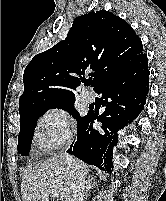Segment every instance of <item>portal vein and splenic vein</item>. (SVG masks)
Returning a JSON list of instances; mask_svg holds the SVG:
<instances>
[{"mask_svg":"<svg viewBox=\"0 0 166 201\" xmlns=\"http://www.w3.org/2000/svg\"><path fill=\"white\" fill-rule=\"evenodd\" d=\"M52 195H53L54 197H58V193H57V192H52Z\"/></svg>","mask_w":166,"mask_h":201,"instance_id":"1","label":"portal vein and splenic vein"}]
</instances>
